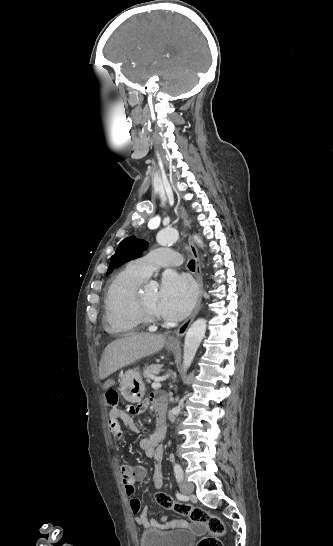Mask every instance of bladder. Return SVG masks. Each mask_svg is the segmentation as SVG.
<instances>
[{"label": "bladder", "mask_w": 333, "mask_h": 546, "mask_svg": "<svg viewBox=\"0 0 333 546\" xmlns=\"http://www.w3.org/2000/svg\"><path fill=\"white\" fill-rule=\"evenodd\" d=\"M194 537L187 530L160 531L149 528L141 535V546H192Z\"/></svg>", "instance_id": "bladder-1"}]
</instances>
